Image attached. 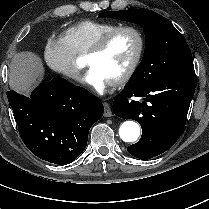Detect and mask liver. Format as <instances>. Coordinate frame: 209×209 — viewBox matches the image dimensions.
<instances>
[{
  "label": "liver",
  "instance_id": "liver-1",
  "mask_svg": "<svg viewBox=\"0 0 209 209\" xmlns=\"http://www.w3.org/2000/svg\"><path fill=\"white\" fill-rule=\"evenodd\" d=\"M44 71L42 61L33 52L17 53L10 64L9 85L23 94H27Z\"/></svg>",
  "mask_w": 209,
  "mask_h": 209
}]
</instances>
